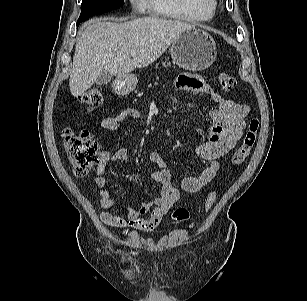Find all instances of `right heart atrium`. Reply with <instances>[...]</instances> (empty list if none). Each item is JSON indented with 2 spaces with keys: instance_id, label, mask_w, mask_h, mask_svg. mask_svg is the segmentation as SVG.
<instances>
[{
  "instance_id": "obj_1",
  "label": "right heart atrium",
  "mask_w": 307,
  "mask_h": 301,
  "mask_svg": "<svg viewBox=\"0 0 307 301\" xmlns=\"http://www.w3.org/2000/svg\"><path fill=\"white\" fill-rule=\"evenodd\" d=\"M133 3H136V2H138L139 0H131ZM143 1V5H144V0H142Z\"/></svg>"
}]
</instances>
